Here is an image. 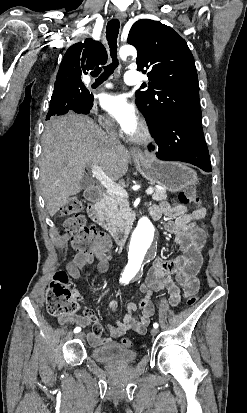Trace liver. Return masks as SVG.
<instances>
[{
    "instance_id": "6515ba94",
    "label": "liver",
    "mask_w": 247,
    "mask_h": 413,
    "mask_svg": "<svg viewBox=\"0 0 247 413\" xmlns=\"http://www.w3.org/2000/svg\"><path fill=\"white\" fill-rule=\"evenodd\" d=\"M39 158L40 190L50 217L80 192L85 166L96 162L112 180L128 170L130 154L121 142H108L95 120L68 112L48 120Z\"/></svg>"
}]
</instances>
